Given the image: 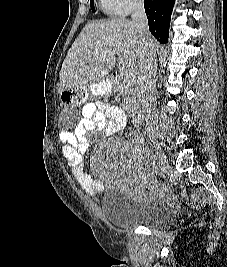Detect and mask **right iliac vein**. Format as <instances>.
I'll use <instances>...</instances> for the list:
<instances>
[{"label":"right iliac vein","mask_w":227,"mask_h":267,"mask_svg":"<svg viewBox=\"0 0 227 267\" xmlns=\"http://www.w3.org/2000/svg\"><path fill=\"white\" fill-rule=\"evenodd\" d=\"M151 141L156 151L158 166L162 172H166L169 168L166 155L156 137H153Z\"/></svg>","instance_id":"right-iliac-vein-1"}]
</instances>
